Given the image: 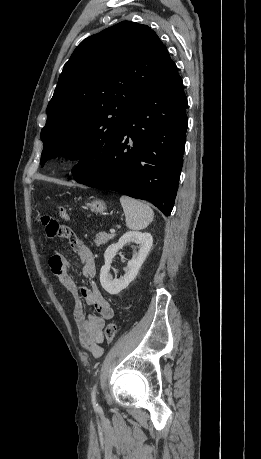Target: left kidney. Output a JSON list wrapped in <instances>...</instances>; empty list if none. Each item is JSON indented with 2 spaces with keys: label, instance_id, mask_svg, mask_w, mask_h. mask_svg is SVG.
I'll return each instance as SVG.
<instances>
[{
  "label": "left kidney",
  "instance_id": "5707ae66",
  "mask_svg": "<svg viewBox=\"0 0 261 459\" xmlns=\"http://www.w3.org/2000/svg\"><path fill=\"white\" fill-rule=\"evenodd\" d=\"M130 243L137 244L139 250L133 254L132 259L128 261L125 269V275L119 279H113L112 275L109 273L112 259L118 250L122 249L124 245ZM152 244L153 238L150 233L132 231L126 232L123 236H121L116 244L110 245L104 253L105 264L102 266L100 271L101 286L111 295H116L123 289L127 288L137 276L152 247Z\"/></svg>",
  "mask_w": 261,
  "mask_h": 459
}]
</instances>
